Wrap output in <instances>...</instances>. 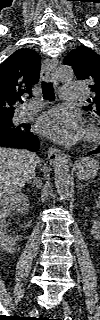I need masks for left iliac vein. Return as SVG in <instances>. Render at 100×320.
<instances>
[{
    "label": "left iliac vein",
    "instance_id": "4c4485c4",
    "mask_svg": "<svg viewBox=\"0 0 100 320\" xmlns=\"http://www.w3.org/2000/svg\"><path fill=\"white\" fill-rule=\"evenodd\" d=\"M63 307L65 311L71 312L72 308L69 306V304L67 302L63 303Z\"/></svg>",
    "mask_w": 100,
    "mask_h": 320
}]
</instances>
